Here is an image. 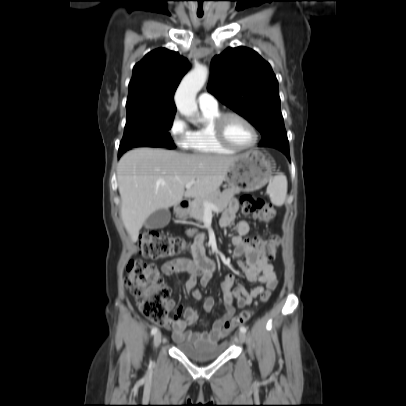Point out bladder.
Masks as SVG:
<instances>
[{"label": "bladder", "instance_id": "obj_1", "mask_svg": "<svg viewBox=\"0 0 406 406\" xmlns=\"http://www.w3.org/2000/svg\"><path fill=\"white\" fill-rule=\"evenodd\" d=\"M178 350L188 358L199 361L207 362L218 358L225 350L223 345L209 344L196 346L184 342H176Z\"/></svg>", "mask_w": 406, "mask_h": 406}]
</instances>
